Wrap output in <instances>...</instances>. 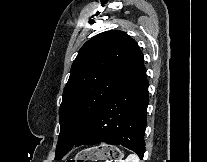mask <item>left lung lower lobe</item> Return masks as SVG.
Returning <instances> with one entry per match:
<instances>
[{"instance_id": "obj_1", "label": "left lung lower lobe", "mask_w": 207, "mask_h": 162, "mask_svg": "<svg viewBox=\"0 0 207 162\" xmlns=\"http://www.w3.org/2000/svg\"><path fill=\"white\" fill-rule=\"evenodd\" d=\"M148 81L142 63L100 106L76 146L107 142L144 156Z\"/></svg>"}]
</instances>
